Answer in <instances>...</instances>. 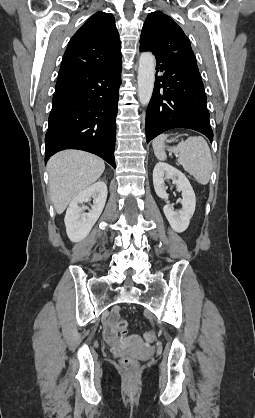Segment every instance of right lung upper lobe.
<instances>
[{
  "instance_id": "obj_1",
  "label": "right lung upper lobe",
  "mask_w": 255,
  "mask_h": 418,
  "mask_svg": "<svg viewBox=\"0 0 255 418\" xmlns=\"http://www.w3.org/2000/svg\"><path fill=\"white\" fill-rule=\"evenodd\" d=\"M120 50L114 16L97 12L70 39L58 76L118 64Z\"/></svg>"
}]
</instances>
